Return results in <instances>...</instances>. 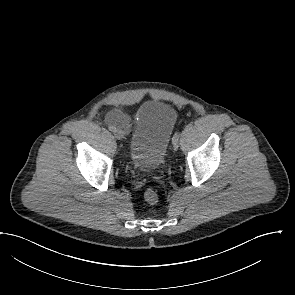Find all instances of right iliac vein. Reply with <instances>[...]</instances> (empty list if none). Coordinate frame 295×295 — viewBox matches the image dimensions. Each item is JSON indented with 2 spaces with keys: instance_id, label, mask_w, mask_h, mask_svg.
I'll return each mask as SVG.
<instances>
[{
  "instance_id": "63e3f726",
  "label": "right iliac vein",
  "mask_w": 295,
  "mask_h": 295,
  "mask_svg": "<svg viewBox=\"0 0 295 295\" xmlns=\"http://www.w3.org/2000/svg\"><path fill=\"white\" fill-rule=\"evenodd\" d=\"M114 136L115 138H117L118 140H121L124 138V133L121 129H117L114 131Z\"/></svg>"
}]
</instances>
